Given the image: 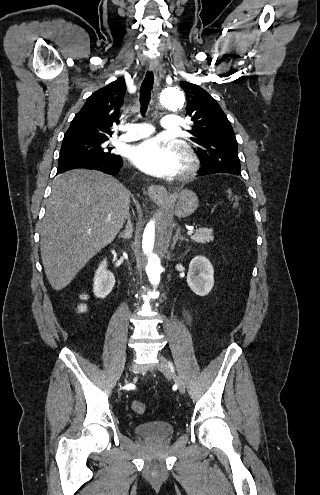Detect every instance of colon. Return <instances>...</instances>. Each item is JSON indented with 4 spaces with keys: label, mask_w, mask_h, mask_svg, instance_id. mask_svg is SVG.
Instances as JSON below:
<instances>
[{
    "label": "colon",
    "mask_w": 320,
    "mask_h": 495,
    "mask_svg": "<svg viewBox=\"0 0 320 495\" xmlns=\"http://www.w3.org/2000/svg\"><path fill=\"white\" fill-rule=\"evenodd\" d=\"M226 196L229 201H231L235 206L239 204V197L233 192L231 188L226 189ZM81 309H85V304H81L80 306ZM132 410L136 414H143L146 411V405L143 402L140 401H135L132 403Z\"/></svg>",
    "instance_id": "1"
}]
</instances>
